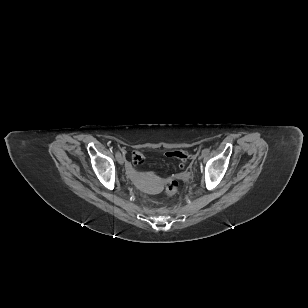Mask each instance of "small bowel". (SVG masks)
<instances>
[{"label":"small bowel","mask_w":308,"mask_h":308,"mask_svg":"<svg viewBox=\"0 0 308 308\" xmlns=\"http://www.w3.org/2000/svg\"><path fill=\"white\" fill-rule=\"evenodd\" d=\"M127 168H128V170H129L130 173H133V172H134V169H133V167H132L131 164H128Z\"/></svg>","instance_id":"small-bowel-1"}]
</instances>
